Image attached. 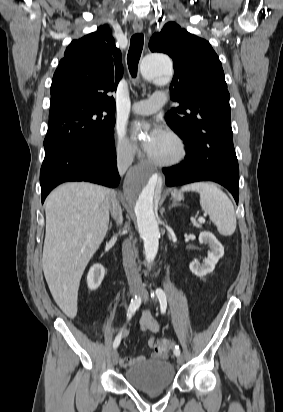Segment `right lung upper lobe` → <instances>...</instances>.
<instances>
[{"label": "right lung upper lobe", "mask_w": 283, "mask_h": 412, "mask_svg": "<svg viewBox=\"0 0 283 412\" xmlns=\"http://www.w3.org/2000/svg\"><path fill=\"white\" fill-rule=\"evenodd\" d=\"M113 44L106 25L70 43L53 76L49 115L63 114L73 105L115 113L110 93L116 91L123 67L121 52Z\"/></svg>", "instance_id": "cb5924a9"}]
</instances>
